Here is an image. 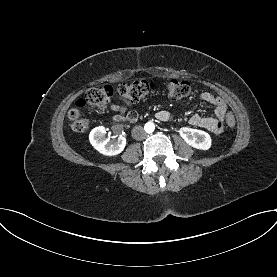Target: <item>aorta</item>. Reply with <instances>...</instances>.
<instances>
[{
    "instance_id": "obj_1",
    "label": "aorta",
    "mask_w": 277,
    "mask_h": 277,
    "mask_svg": "<svg viewBox=\"0 0 277 277\" xmlns=\"http://www.w3.org/2000/svg\"><path fill=\"white\" fill-rule=\"evenodd\" d=\"M154 130H155V125H154V123H152V122H147V123L145 124V131H146L147 133H152Z\"/></svg>"
}]
</instances>
